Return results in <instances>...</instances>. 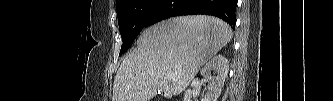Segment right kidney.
<instances>
[{
    "mask_svg": "<svg viewBox=\"0 0 333 101\" xmlns=\"http://www.w3.org/2000/svg\"><path fill=\"white\" fill-rule=\"evenodd\" d=\"M229 70V61L223 55L214 56L206 65L201 69L200 74L205 81L210 80L208 92L206 93L203 101H217L222 88L224 86L225 79L227 78ZM215 71V76L211 75V72ZM192 90H187L184 95V101H192L199 93L201 83L198 79L192 82Z\"/></svg>",
    "mask_w": 333,
    "mask_h": 101,
    "instance_id": "obj_1",
    "label": "right kidney"
}]
</instances>
